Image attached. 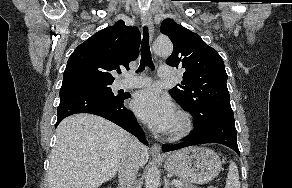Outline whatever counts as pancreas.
I'll use <instances>...</instances> for the list:
<instances>
[{
	"mask_svg": "<svg viewBox=\"0 0 292 188\" xmlns=\"http://www.w3.org/2000/svg\"><path fill=\"white\" fill-rule=\"evenodd\" d=\"M177 188H196L194 187L191 183L189 182H185V181H182V185L181 186H177ZM211 188V187H209Z\"/></svg>",
	"mask_w": 292,
	"mask_h": 188,
	"instance_id": "pancreas-1",
	"label": "pancreas"
}]
</instances>
